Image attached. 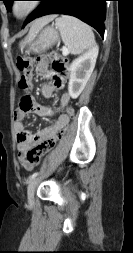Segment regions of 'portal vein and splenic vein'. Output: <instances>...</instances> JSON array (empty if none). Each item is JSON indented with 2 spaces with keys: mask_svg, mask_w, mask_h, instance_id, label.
<instances>
[{
  "mask_svg": "<svg viewBox=\"0 0 133 253\" xmlns=\"http://www.w3.org/2000/svg\"><path fill=\"white\" fill-rule=\"evenodd\" d=\"M68 53H69L68 49L66 47H63L62 48V54L63 55H68Z\"/></svg>",
  "mask_w": 133,
  "mask_h": 253,
  "instance_id": "18ae733b",
  "label": "portal vein and splenic vein"
}]
</instances>
